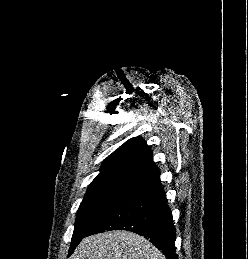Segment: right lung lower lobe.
I'll return each instance as SVG.
<instances>
[{
  "label": "right lung lower lobe",
  "instance_id": "right-lung-lower-lobe-1",
  "mask_svg": "<svg viewBox=\"0 0 248 259\" xmlns=\"http://www.w3.org/2000/svg\"><path fill=\"white\" fill-rule=\"evenodd\" d=\"M128 230L149 239L167 259L175 254L176 229L160 181V172L132 185L85 235ZM74 245L69 255L74 251Z\"/></svg>",
  "mask_w": 248,
  "mask_h": 259
}]
</instances>
